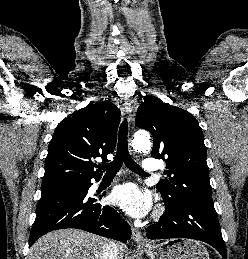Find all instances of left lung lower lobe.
<instances>
[{"mask_svg": "<svg viewBox=\"0 0 248 259\" xmlns=\"http://www.w3.org/2000/svg\"><path fill=\"white\" fill-rule=\"evenodd\" d=\"M150 239L190 238L204 241L227 258L217 213L213 204L167 205L156 225L147 229Z\"/></svg>", "mask_w": 248, "mask_h": 259, "instance_id": "0a47b994", "label": "left lung lower lobe"}]
</instances>
